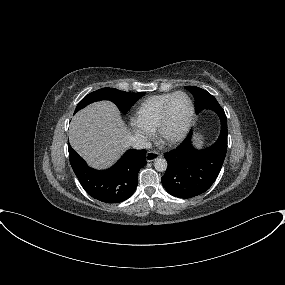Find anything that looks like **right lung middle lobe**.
Listing matches in <instances>:
<instances>
[{
    "label": "right lung middle lobe",
    "instance_id": "right-lung-middle-lobe-1",
    "mask_svg": "<svg viewBox=\"0 0 285 285\" xmlns=\"http://www.w3.org/2000/svg\"><path fill=\"white\" fill-rule=\"evenodd\" d=\"M144 94L145 92L129 93L125 91H120L115 88H102L85 96L78 103L75 109V113L87 106L88 104L100 100H110L114 104H116V106L121 112L126 113L134 105V103Z\"/></svg>",
    "mask_w": 285,
    "mask_h": 285
}]
</instances>
